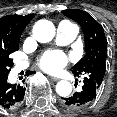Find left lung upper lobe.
I'll list each match as a JSON object with an SVG mask.
<instances>
[{"label": "left lung upper lobe", "instance_id": "1", "mask_svg": "<svg viewBox=\"0 0 117 117\" xmlns=\"http://www.w3.org/2000/svg\"><path fill=\"white\" fill-rule=\"evenodd\" d=\"M63 14L78 22L84 33L86 55L72 68L74 75H84V81L92 80L100 88L105 72L107 40L103 27L93 17L82 10H64Z\"/></svg>", "mask_w": 117, "mask_h": 117}]
</instances>
